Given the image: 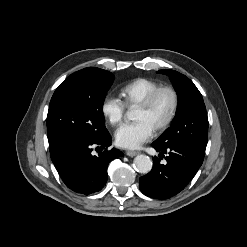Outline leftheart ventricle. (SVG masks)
I'll use <instances>...</instances> for the list:
<instances>
[{
    "label": "left heart ventricle",
    "instance_id": "left-heart-ventricle-1",
    "mask_svg": "<svg viewBox=\"0 0 247 247\" xmlns=\"http://www.w3.org/2000/svg\"><path fill=\"white\" fill-rule=\"evenodd\" d=\"M171 103L170 94L167 92L161 93L150 109H136L135 120H144L154 129L167 117Z\"/></svg>",
    "mask_w": 247,
    "mask_h": 247
}]
</instances>
